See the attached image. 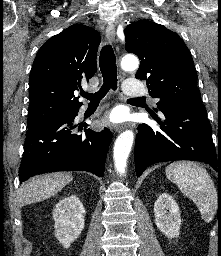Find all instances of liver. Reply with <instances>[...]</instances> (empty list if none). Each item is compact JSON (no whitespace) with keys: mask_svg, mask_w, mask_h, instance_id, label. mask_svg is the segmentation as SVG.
<instances>
[{"mask_svg":"<svg viewBox=\"0 0 221 256\" xmlns=\"http://www.w3.org/2000/svg\"><path fill=\"white\" fill-rule=\"evenodd\" d=\"M73 180L68 172L49 173L34 177L23 183L19 189L20 205L45 200L56 193Z\"/></svg>","mask_w":221,"mask_h":256,"instance_id":"6515ba94","label":"liver"}]
</instances>
